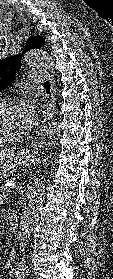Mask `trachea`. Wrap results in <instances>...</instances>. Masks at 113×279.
<instances>
[{
  "instance_id": "trachea-1",
  "label": "trachea",
  "mask_w": 113,
  "mask_h": 279,
  "mask_svg": "<svg viewBox=\"0 0 113 279\" xmlns=\"http://www.w3.org/2000/svg\"><path fill=\"white\" fill-rule=\"evenodd\" d=\"M45 88H46V89H50V85H49L48 82L45 83Z\"/></svg>"
}]
</instances>
